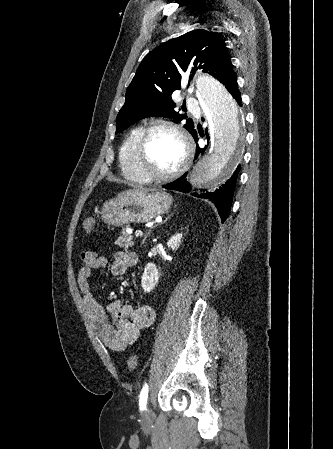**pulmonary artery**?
<instances>
[{
    "mask_svg": "<svg viewBox=\"0 0 333 449\" xmlns=\"http://www.w3.org/2000/svg\"><path fill=\"white\" fill-rule=\"evenodd\" d=\"M187 105L189 108L193 109L194 107H196L197 103L193 98H188Z\"/></svg>",
    "mask_w": 333,
    "mask_h": 449,
    "instance_id": "1",
    "label": "pulmonary artery"
}]
</instances>
